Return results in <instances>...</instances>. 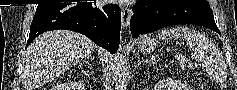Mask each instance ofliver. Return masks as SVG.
I'll return each mask as SVG.
<instances>
[{
    "label": "liver",
    "instance_id": "6515ba94",
    "mask_svg": "<svg viewBox=\"0 0 237 90\" xmlns=\"http://www.w3.org/2000/svg\"><path fill=\"white\" fill-rule=\"evenodd\" d=\"M94 42L83 34L68 30H53L38 36L27 48L25 54L26 90H36L48 84L56 76L76 66L80 60L93 54Z\"/></svg>",
    "mask_w": 237,
    "mask_h": 90
}]
</instances>
